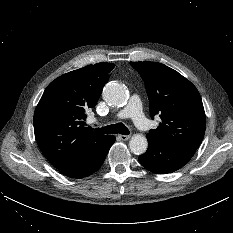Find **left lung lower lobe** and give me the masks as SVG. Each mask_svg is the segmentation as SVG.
I'll use <instances>...</instances> for the list:
<instances>
[{"label":"left lung lower lobe","instance_id":"0a47b994","mask_svg":"<svg viewBox=\"0 0 233 233\" xmlns=\"http://www.w3.org/2000/svg\"><path fill=\"white\" fill-rule=\"evenodd\" d=\"M147 139L148 149L139 156V162L147 170L157 174H167L180 169L196 151L187 147L163 145Z\"/></svg>","mask_w":233,"mask_h":233}]
</instances>
